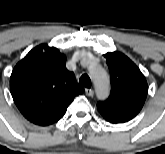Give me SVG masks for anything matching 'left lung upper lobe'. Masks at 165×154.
<instances>
[{
    "label": "left lung upper lobe",
    "mask_w": 165,
    "mask_h": 154,
    "mask_svg": "<svg viewBox=\"0 0 165 154\" xmlns=\"http://www.w3.org/2000/svg\"><path fill=\"white\" fill-rule=\"evenodd\" d=\"M110 71L111 93L107 100L97 103L100 114L111 123L127 122L144 105L148 86L140 69L124 54L105 55Z\"/></svg>",
    "instance_id": "obj_1"
}]
</instances>
